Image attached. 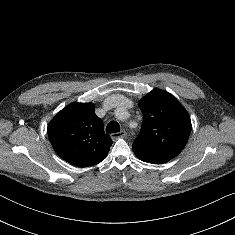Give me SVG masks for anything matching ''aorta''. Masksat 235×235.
<instances>
[{
    "label": "aorta",
    "mask_w": 235,
    "mask_h": 235,
    "mask_svg": "<svg viewBox=\"0 0 235 235\" xmlns=\"http://www.w3.org/2000/svg\"><path fill=\"white\" fill-rule=\"evenodd\" d=\"M125 112L124 111H121L119 113L116 114V116L121 119L122 118V115L124 114Z\"/></svg>",
    "instance_id": "762f6f07"
}]
</instances>
